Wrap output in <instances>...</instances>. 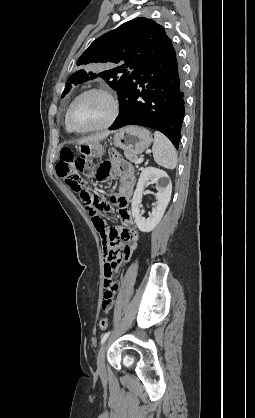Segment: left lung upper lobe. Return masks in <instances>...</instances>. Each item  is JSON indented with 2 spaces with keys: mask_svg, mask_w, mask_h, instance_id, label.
Instances as JSON below:
<instances>
[{
  "mask_svg": "<svg viewBox=\"0 0 255 418\" xmlns=\"http://www.w3.org/2000/svg\"><path fill=\"white\" fill-rule=\"evenodd\" d=\"M170 39L164 28L147 18H136L97 38L77 61L86 69L71 75L62 94L64 97L74 85L97 76L103 78L118 94L133 70L152 54L161 50ZM103 66L95 74L90 68Z\"/></svg>",
  "mask_w": 255,
  "mask_h": 418,
  "instance_id": "5c2ea615",
  "label": "left lung upper lobe"
}]
</instances>
